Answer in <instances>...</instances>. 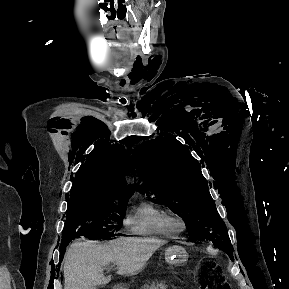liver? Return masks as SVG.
Here are the masks:
<instances>
[{
    "label": "liver",
    "instance_id": "1",
    "mask_svg": "<svg viewBox=\"0 0 289 289\" xmlns=\"http://www.w3.org/2000/svg\"><path fill=\"white\" fill-rule=\"evenodd\" d=\"M159 239L121 237L109 244L92 240L76 241L64 258V289H97L109 282L102 267L110 262L117 265V274L135 275L165 244Z\"/></svg>",
    "mask_w": 289,
    "mask_h": 289
}]
</instances>
